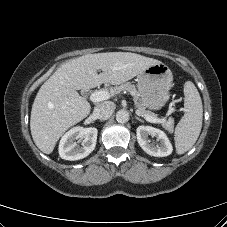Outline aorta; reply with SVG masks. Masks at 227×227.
Returning <instances> with one entry per match:
<instances>
[{
    "instance_id": "1",
    "label": "aorta",
    "mask_w": 227,
    "mask_h": 227,
    "mask_svg": "<svg viewBox=\"0 0 227 227\" xmlns=\"http://www.w3.org/2000/svg\"><path fill=\"white\" fill-rule=\"evenodd\" d=\"M116 120L119 123H126V122H128V120H129V113H128V111L123 110V109L119 110L116 113Z\"/></svg>"
}]
</instances>
